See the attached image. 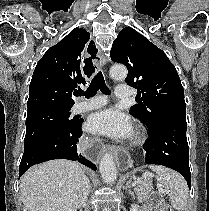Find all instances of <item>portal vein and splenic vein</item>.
Returning <instances> with one entry per match:
<instances>
[{
	"mask_svg": "<svg viewBox=\"0 0 209 211\" xmlns=\"http://www.w3.org/2000/svg\"><path fill=\"white\" fill-rule=\"evenodd\" d=\"M134 184H136V183H134ZM159 191L161 192V193H164V190L159 186Z\"/></svg>",
	"mask_w": 209,
	"mask_h": 211,
	"instance_id": "1",
	"label": "portal vein and splenic vein"
}]
</instances>
